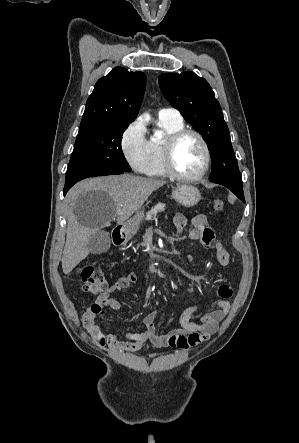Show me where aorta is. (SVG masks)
Listing matches in <instances>:
<instances>
[{
    "mask_svg": "<svg viewBox=\"0 0 299 443\" xmlns=\"http://www.w3.org/2000/svg\"><path fill=\"white\" fill-rule=\"evenodd\" d=\"M155 136H157V137H161V132H160V131H156V132H155Z\"/></svg>",
    "mask_w": 299,
    "mask_h": 443,
    "instance_id": "obj_1",
    "label": "aorta"
}]
</instances>
